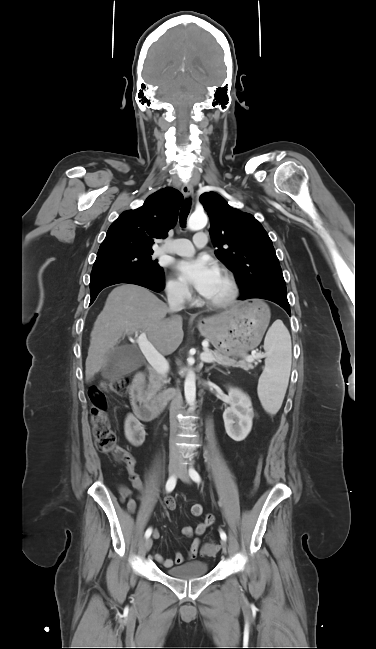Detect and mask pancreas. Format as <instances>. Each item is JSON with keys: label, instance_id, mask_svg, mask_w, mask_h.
Wrapping results in <instances>:
<instances>
[{"label": "pancreas", "instance_id": "pancreas-1", "mask_svg": "<svg viewBox=\"0 0 376 649\" xmlns=\"http://www.w3.org/2000/svg\"><path fill=\"white\" fill-rule=\"evenodd\" d=\"M206 353H211L215 356L214 364L217 363L225 367H239L245 370L254 368V366L250 362H237L234 359H230L227 354H221L218 351L204 350L201 355ZM168 382L169 380L167 379V376L165 374L151 370L149 375V385L147 388L148 399H158L160 396H162V393L159 392L162 388L165 387V384H167Z\"/></svg>", "mask_w": 376, "mask_h": 649}]
</instances>
